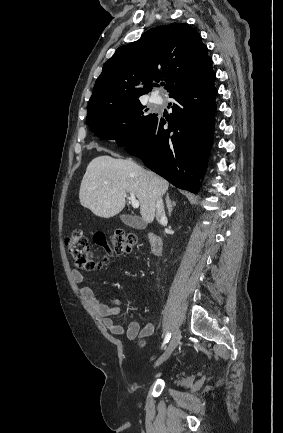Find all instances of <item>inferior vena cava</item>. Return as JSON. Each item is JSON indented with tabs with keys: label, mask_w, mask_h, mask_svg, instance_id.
<instances>
[{
	"label": "inferior vena cava",
	"mask_w": 283,
	"mask_h": 433,
	"mask_svg": "<svg viewBox=\"0 0 283 433\" xmlns=\"http://www.w3.org/2000/svg\"><path fill=\"white\" fill-rule=\"evenodd\" d=\"M156 217L158 221H162V219H166L162 198H157L156 200Z\"/></svg>",
	"instance_id": "602c4592"
}]
</instances>
